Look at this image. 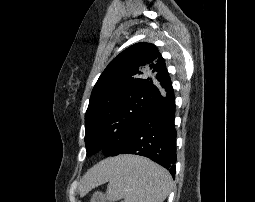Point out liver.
<instances>
[{
    "instance_id": "liver-1",
    "label": "liver",
    "mask_w": 255,
    "mask_h": 202,
    "mask_svg": "<svg viewBox=\"0 0 255 202\" xmlns=\"http://www.w3.org/2000/svg\"><path fill=\"white\" fill-rule=\"evenodd\" d=\"M122 159H124V156L106 159L90 169L82 180L83 191L104 183L107 180V166L115 165Z\"/></svg>"
}]
</instances>
